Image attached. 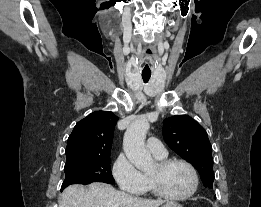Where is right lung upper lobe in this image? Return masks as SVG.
Returning a JSON list of instances; mask_svg holds the SVG:
<instances>
[{
  "mask_svg": "<svg viewBox=\"0 0 261 207\" xmlns=\"http://www.w3.org/2000/svg\"><path fill=\"white\" fill-rule=\"evenodd\" d=\"M118 117L96 111L79 121L68 138L66 162L110 156Z\"/></svg>",
  "mask_w": 261,
  "mask_h": 207,
  "instance_id": "cb5924a9",
  "label": "right lung upper lobe"
}]
</instances>
